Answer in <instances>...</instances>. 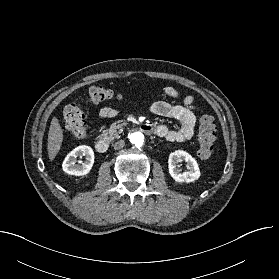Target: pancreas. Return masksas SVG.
<instances>
[{"label": "pancreas", "mask_w": 279, "mask_h": 279, "mask_svg": "<svg viewBox=\"0 0 279 279\" xmlns=\"http://www.w3.org/2000/svg\"><path fill=\"white\" fill-rule=\"evenodd\" d=\"M123 126L124 123L115 122L110 126L109 129L104 130L101 136L110 141L115 138H119V134L123 131Z\"/></svg>", "instance_id": "pancreas-1"}]
</instances>
